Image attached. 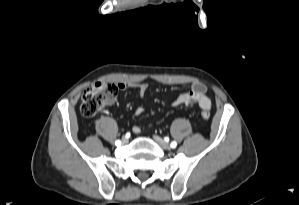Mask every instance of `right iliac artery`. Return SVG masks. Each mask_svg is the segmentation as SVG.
<instances>
[{
	"instance_id": "82829eb1",
	"label": "right iliac artery",
	"mask_w": 299,
	"mask_h": 205,
	"mask_svg": "<svg viewBox=\"0 0 299 205\" xmlns=\"http://www.w3.org/2000/svg\"><path fill=\"white\" fill-rule=\"evenodd\" d=\"M115 144H116L117 146H119V145L121 144V141H120V140H117V141L115 142Z\"/></svg>"
}]
</instances>
